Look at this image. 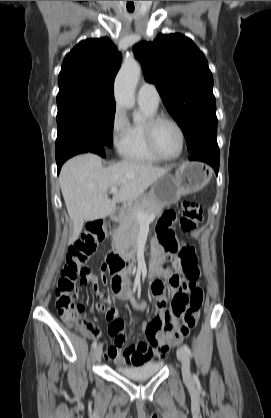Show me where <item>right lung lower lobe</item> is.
I'll return each instance as SVG.
<instances>
[{
  "label": "right lung lower lobe",
  "mask_w": 271,
  "mask_h": 418,
  "mask_svg": "<svg viewBox=\"0 0 271 418\" xmlns=\"http://www.w3.org/2000/svg\"><path fill=\"white\" fill-rule=\"evenodd\" d=\"M104 145L103 144H93V145H83L76 148L65 149L59 152H56V163L58 168V173L61 169L62 164L70 157L79 154V153H86L92 152L99 154L101 156H105L104 153Z\"/></svg>",
  "instance_id": "obj_1"
}]
</instances>
